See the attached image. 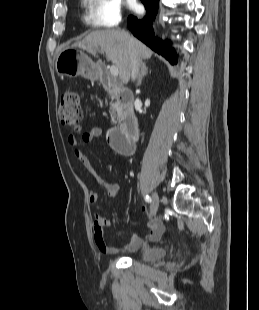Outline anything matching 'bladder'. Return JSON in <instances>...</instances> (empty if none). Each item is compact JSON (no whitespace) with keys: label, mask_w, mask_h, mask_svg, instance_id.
I'll list each match as a JSON object with an SVG mask.
<instances>
[{"label":"bladder","mask_w":259,"mask_h":310,"mask_svg":"<svg viewBox=\"0 0 259 310\" xmlns=\"http://www.w3.org/2000/svg\"><path fill=\"white\" fill-rule=\"evenodd\" d=\"M167 251L163 247L159 246H145L143 247L138 255V259L143 262L158 261L165 258Z\"/></svg>","instance_id":"bladder-1"}]
</instances>
